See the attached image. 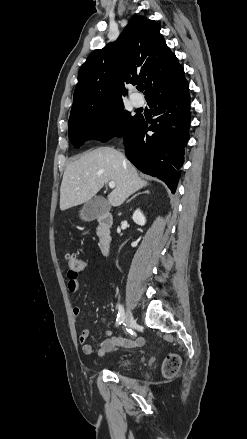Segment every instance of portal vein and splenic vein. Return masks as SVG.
<instances>
[{
    "label": "portal vein and splenic vein",
    "instance_id": "18ae733b",
    "mask_svg": "<svg viewBox=\"0 0 247 439\" xmlns=\"http://www.w3.org/2000/svg\"><path fill=\"white\" fill-rule=\"evenodd\" d=\"M115 186H116V185H115V182H109V187H110V188L113 189V188H115Z\"/></svg>",
    "mask_w": 247,
    "mask_h": 439
}]
</instances>
